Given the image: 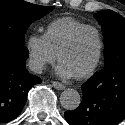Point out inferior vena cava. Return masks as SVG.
<instances>
[{
  "label": "inferior vena cava",
  "mask_w": 125,
  "mask_h": 125,
  "mask_svg": "<svg viewBox=\"0 0 125 125\" xmlns=\"http://www.w3.org/2000/svg\"><path fill=\"white\" fill-rule=\"evenodd\" d=\"M28 67L32 72H35L38 74L42 73V70H43V64L36 60H30L28 63Z\"/></svg>",
  "instance_id": "inferior-vena-cava-1"
}]
</instances>
